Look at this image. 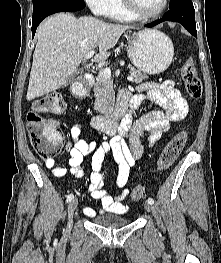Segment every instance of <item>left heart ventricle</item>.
Returning <instances> with one entry per match:
<instances>
[{
	"label": "left heart ventricle",
	"instance_id": "obj_1",
	"mask_svg": "<svg viewBox=\"0 0 221 263\" xmlns=\"http://www.w3.org/2000/svg\"><path fill=\"white\" fill-rule=\"evenodd\" d=\"M135 2L143 13L156 12L163 4V0H135Z\"/></svg>",
	"mask_w": 221,
	"mask_h": 263
}]
</instances>
